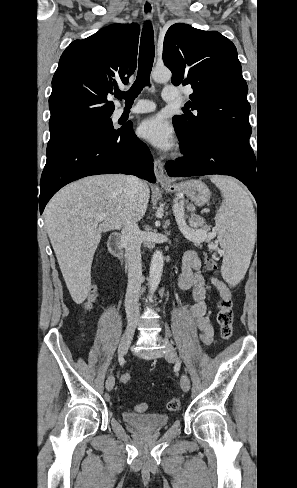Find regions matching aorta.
Masks as SVG:
<instances>
[{
	"label": "aorta",
	"mask_w": 297,
	"mask_h": 488,
	"mask_svg": "<svg viewBox=\"0 0 297 488\" xmlns=\"http://www.w3.org/2000/svg\"><path fill=\"white\" fill-rule=\"evenodd\" d=\"M152 79L157 82H167L171 79V71L166 67H155L151 72ZM164 265V258L163 254L160 250H156L153 253L151 264H150V271H149V291L151 293L155 292L162 276Z\"/></svg>",
	"instance_id": "obj_1"
}]
</instances>
